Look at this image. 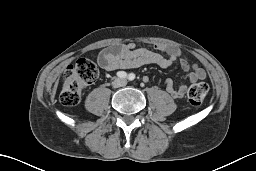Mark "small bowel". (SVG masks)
I'll list each match as a JSON object with an SVG mask.
<instances>
[{
	"mask_svg": "<svg viewBox=\"0 0 256 171\" xmlns=\"http://www.w3.org/2000/svg\"><path fill=\"white\" fill-rule=\"evenodd\" d=\"M152 49L134 43L114 44L104 49L98 56V64L105 71L117 69H136L146 65H158L168 69L178 61L186 72V80L193 84L206 78V72L199 65L190 63L180 49L165 43H154ZM166 92L175 99L182 98L187 90L185 82L177 87L171 79L164 82Z\"/></svg>",
	"mask_w": 256,
	"mask_h": 171,
	"instance_id": "c3829d8e",
	"label": "small bowel"
}]
</instances>
